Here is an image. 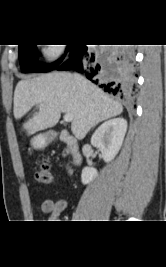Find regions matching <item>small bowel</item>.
Wrapping results in <instances>:
<instances>
[{
	"instance_id": "obj_1",
	"label": "small bowel",
	"mask_w": 166,
	"mask_h": 267,
	"mask_svg": "<svg viewBox=\"0 0 166 267\" xmlns=\"http://www.w3.org/2000/svg\"><path fill=\"white\" fill-rule=\"evenodd\" d=\"M66 207L67 201L63 198L57 200L45 199L41 203L42 212L49 214L52 221H57L60 214L66 209Z\"/></svg>"
}]
</instances>
